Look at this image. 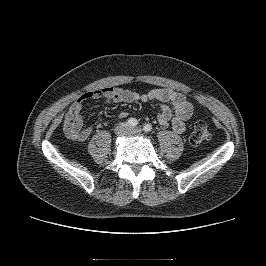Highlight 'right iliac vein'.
Instances as JSON below:
<instances>
[{
  "label": "right iliac vein",
  "instance_id": "63e3f726",
  "mask_svg": "<svg viewBox=\"0 0 266 266\" xmlns=\"http://www.w3.org/2000/svg\"><path fill=\"white\" fill-rule=\"evenodd\" d=\"M128 130V126L125 123H120L118 124L115 129L114 132L117 136H122L124 135Z\"/></svg>",
  "mask_w": 266,
  "mask_h": 266
}]
</instances>
